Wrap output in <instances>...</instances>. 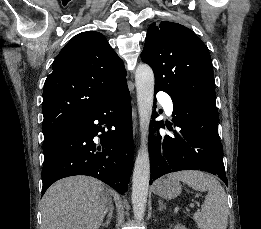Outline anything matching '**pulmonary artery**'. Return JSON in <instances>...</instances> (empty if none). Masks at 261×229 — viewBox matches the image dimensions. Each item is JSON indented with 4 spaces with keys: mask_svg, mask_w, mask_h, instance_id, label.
<instances>
[{
    "mask_svg": "<svg viewBox=\"0 0 261 229\" xmlns=\"http://www.w3.org/2000/svg\"><path fill=\"white\" fill-rule=\"evenodd\" d=\"M169 95V91L160 90L158 98L161 99L159 101V104L163 105V111L165 112V115H169L171 117L172 115H174L173 105H175V100H172V97Z\"/></svg>",
    "mask_w": 261,
    "mask_h": 229,
    "instance_id": "obj_1",
    "label": "pulmonary artery"
}]
</instances>
